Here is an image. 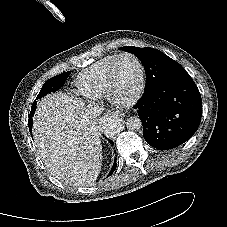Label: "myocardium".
Returning a JSON list of instances; mask_svg holds the SVG:
<instances>
[{"instance_id": "1", "label": "myocardium", "mask_w": 227, "mask_h": 227, "mask_svg": "<svg viewBox=\"0 0 227 227\" xmlns=\"http://www.w3.org/2000/svg\"><path fill=\"white\" fill-rule=\"evenodd\" d=\"M125 57H130L137 63L139 71H140V82H139L138 90L133 95V97H131L130 99L122 100L116 96V92H115L116 84H115L114 73H115V66L118 63V61H120L121 59H123ZM106 84H107L106 85L107 86L106 96L113 104H117V105H121V106H130V105L135 104L142 97L144 90H145V86H146V71H145V67H144L142 61L140 60V58L130 52H124V53L117 55L115 60L112 62V64L110 65V67L108 69Z\"/></svg>"}]
</instances>
